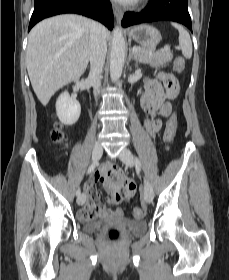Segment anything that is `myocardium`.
I'll list each match as a JSON object with an SVG mask.
<instances>
[{"mask_svg":"<svg viewBox=\"0 0 229 280\" xmlns=\"http://www.w3.org/2000/svg\"><path fill=\"white\" fill-rule=\"evenodd\" d=\"M139 1H141V0H136V1H134L133 3H137V2H139Z\"/></svg>","mask_w":229,"mask_h":280,"instance_id":"1","label":"myocardium"}]
</instances>
